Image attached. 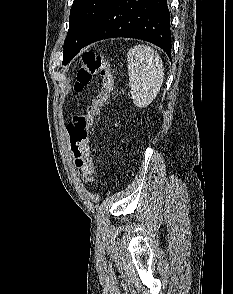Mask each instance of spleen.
Wrapping results in <instances>:
<instances>
[{"instance_id": "1", "label": "spleen", "mask_w": 233, "mask_h": 294, "mask_svg": "<svg viewBox=\"0 0 233 294\" xmlns=\"http://www.w3.org/2000/svg\"><path fill=\"white\" fill-rule=\"evenodd\" d=\"M131 98L138 108L149 106L164 81V67L158 53L148 45L138 44L127 53Z\"/></svg>"}]
</instances>
